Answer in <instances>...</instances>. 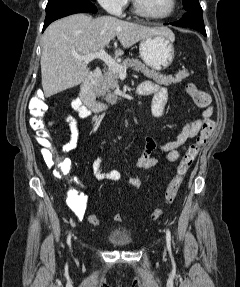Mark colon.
<instances>
[{
    "label": "colon",
    "mask_w": 240,
    "mask_h": 287,
    "mask_svg": "<svg viewBox=\"0 0 240 287\" xmlns=\"http://www.w3.org/2000/svg\"><path fill=\"white\" fill-rule=\"evenodd\" d=\"M187 93L193 99L194 103L200 108H206L211 103V96L206 91L198 89L194 84L187 85ZM48 106L44 99L40 96L31 98L29 102L30 111V126L36 134V137L43 141H48V132L43 122V116ZM214 128L212 120L208 119L203 122L200 134L196 141L192 143L185 151L181 161L179 162L175 176L169 182L165 190V202L166 204H172L179 192V189L183 183L185 176L193 165L201 147L211 135ZM55 172L58 176H64L71 170V163L64 157H57L55 162ZM163 214L162 208H156L151 213V219L156 220ZM114 220L117 222L123 221L121 214H116ZM88 221L91 225L97 226L100 224V220L96 215H90Z\"/></svg>",
    "instance_id": "1"
}]
</instances>
